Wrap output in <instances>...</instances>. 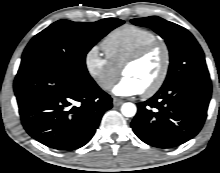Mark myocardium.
Segmentation results:
<instances>
[{"mask_svg": "<svg viewBox=\"0 0 220 173\" xmlns=\"http://www.w3.org/2000/svg\"><path fill=\"white\" fill-rule=\"evenodd\" d=\"M156 49H162L164 53V62H163V67L161 69V72L153 85L149 87L148 89L144 90L142 92V95L144 97H151L155 95L159 90L163 87L165 84L170 67H171V50L168 44L162 40H155L153 42H150L141 48H139L136 52H134L123 64L122 66V73L124 70L131 66L134 65L140 61H142L147 55H149L151 52H153Z\"/></svg>", "mask_w": 220, "mask_h": 173, "instance_id": "myocardium-1", "label": "myocardium"}]
</instances>
